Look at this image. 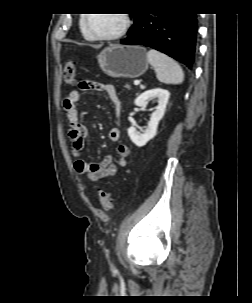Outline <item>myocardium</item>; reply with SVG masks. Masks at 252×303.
I'll list each match as a JSON object with an SVG mask.
<instances>
[{
  "label": "myocardium",
  "instance_id": "myocardium-1",
  "mask_svg": "<svg viewBox=\"0 0 252 303\" xmlns=\"http://www.w3.org/2000/svg\"><path fill=\"white\" fill-rule=\"evenodd\" d=\"M122 16V26L115 32L110 33V34H92L91 32H89V30L87 29V21L88 18H84L82 20V30L84 32V34L93 40H98V41H109V40H115L118 39L120 37H122L129 29L130 25H131V20H130V16L127 13H123L120 14Z\"/></svg>",
  "mask_w": 252,
  "mask_h": 303
}]
</instances>
